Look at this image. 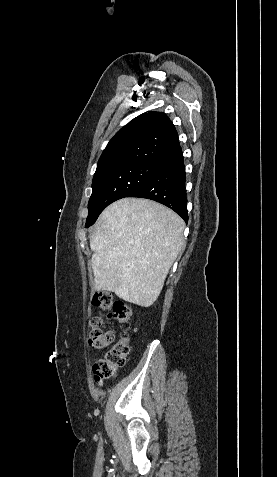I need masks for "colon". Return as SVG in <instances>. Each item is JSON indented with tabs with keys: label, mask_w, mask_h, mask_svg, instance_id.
<instances>
[{
	"label": "colon",
	"mask_w": 277,
	"mask_h": 477,
	"mask_svg": "<svg viewBox=\"0 0 277 477\" xmlns=\"http://www.w3.org/2000/svg\"><path fill=\"white\" fill-rule=\"evenodd\" d=\"M92 305L107 313L108 318L122 324L128 323L131 310L122 300L115 298L109 292H98L92 298ZM104 317L93 316L90 321L89 344L94 348H106L113 342V333L103 328ZM130 350L127 336L122 337L105 355L93 366V376L97 384L112 378L118 368L124 365Z\"/></svg>",
	"instance_id": "5ec220e1"
}]
</instances>
